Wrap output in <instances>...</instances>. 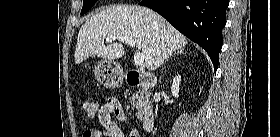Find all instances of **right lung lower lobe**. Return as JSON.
<instances>
[{"label":"right lung lower lobe","instance_id":"right-lung-lower-lobe-1","mask_svg":"<svg viewBox=\"0 0 280 137\" xmlns=\"http://www.w3.org/2000/svg\"><path fill=\"white\" fill-rule=\"evenodd\" d=\"M140 5L162 15L178 31L205 49L217 69L228 0H143Z\"/></svg>","mask_w":280,"mask_h":137}]
</instances>
